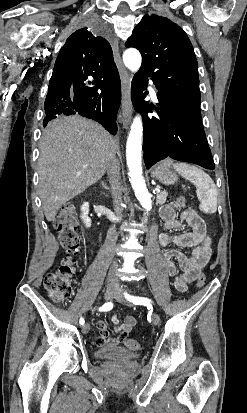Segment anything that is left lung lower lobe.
<instances>
[{
    "label": "left lung lower lobe",
    "instance_id": "obj_1",
    "mask_svg": "<svg viewBox=\"0 0 247 413\" xmlns=\"http://www.w3.org/2000/svg\"><path fill=\"white\" fill-rule=\"evenodd\" d=\"M148 77L137 73L132 80V100L143 117V151L146 168L171 157L206 169H215L202 125L200 104L175 93L157 90L159 104L144 101ZM155 109L158 117H148Z\"/></svg>",
    "mask_w": 247,
    "mask_h": 413
}]
</instances>
